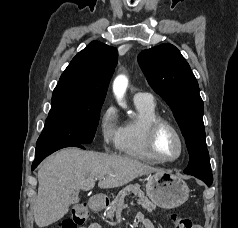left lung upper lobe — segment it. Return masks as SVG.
I'll return each instance as SVG.
<instances>
[{"label": "left lung upper lobe", "instance_id": "1", "mask_svg": "<svg viewBox=\"0 0 238 228\" xmlns=\"http://www.w3.org/2000/svg\"><path fill=\"white\" fill-rule=\"evenodd\" d=\"M149 85L169 105L185 138L190 161L186 173L212 177L198 82L180 51L162 44L138 55Z\"/></svg>", "mask_w": 238, "mask_h": 228}]
</instances>
